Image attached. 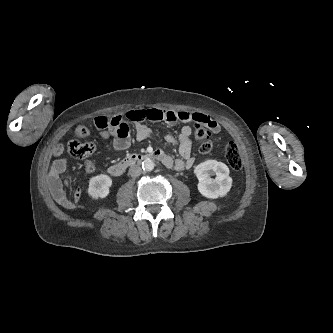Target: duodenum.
<instances>
[{"instance_id": "obj_1", "label": "duodenum", "mask_w": 333, "mask_h": 333, "mask_svg": "<svg viewBox=\"0 0 333 333\" xmlns=\"http://www.w3.org/2000/svg\"><path fill=\"white\" fill-rule=\"evenodd\" d=\"M149 159L160 161L162 163L166 162L165 155L160 151L147 152V153H133V154L127 155L120 161L115 162L112 165H110L108 168V171L110 174H112L114 176H121L126 172V170L130 166L144 162L145 160H149Z\"/></svg>"}]
</instances>
